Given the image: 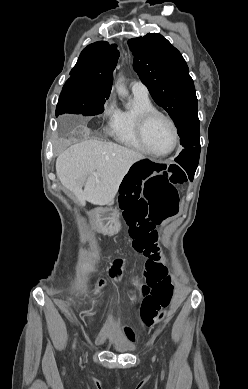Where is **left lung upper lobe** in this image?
Segmentation results:
<instances>
[{"label":"left lung upper lobe","mask_w":248,"mask_h":389,"mask_svg":"<svg viewBox=\"0 0 248 389\" xmlns=\"http://www.w3.org/2000/svg\"><path fill=\"white\" fill-rule=\"evenodd\" d=\"M128 45L135 57L134 70L152 98L173 119L178 132L183 118L197 111L195 87L184 58L167 39L157 33L132 38L128 40ZM198 141L189 139L187 135L180 137V144L185 148Z\"/></svg>","instance_id":"1"}]
</instances>
